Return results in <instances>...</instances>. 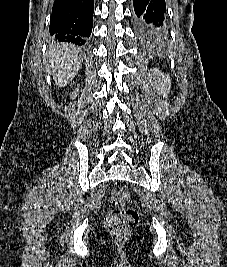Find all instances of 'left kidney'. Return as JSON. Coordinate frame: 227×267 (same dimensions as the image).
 <instances>
[{
  "mask_svg": "<svg viewBox=\"0 0 227 267\" xmlns=\"http://www.w3.org/2000/svg\"><path fill=\"white\" fill-rule=\"evenodd\" d=\"M148 77L152 87L156 89L159 94L167 97L171 88L170 77L157 69H152L151 72L148 73Z\"/></svg>",
  "mask_w": 227,
  "mask_h": 267,
  "instance_id": "1",
  "label": "left kidney"
}]
</instances>
